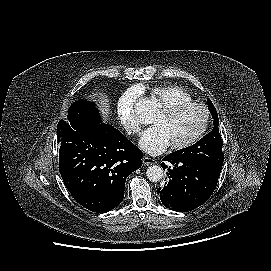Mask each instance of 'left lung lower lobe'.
<instances>
[{
    "mask_svg": "<svg viewBox=\"0 0 271 271\" xmlns=\"http://www.w3.org/2000/svg\"><path fill=\"white\" fill-rule=\"evenodd\" d=\"M162 161L170 162L173 167L162 163L168 168L167 181L163 187L157 189L160 200L169 209L177 212L193 210L204 202L214 192L219 174L210 171L203 165L180 159L173 153Z\"/></svg>",
    "mask_w": 271,
    "mask_h": 271,
    "instance_id": "0a47b994",
    "label": "left lung lower lobe"
}]
</instances>
